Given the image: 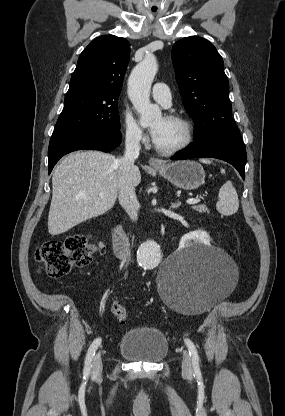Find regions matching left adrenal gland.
Here are the masks:
<instances>
[{
	"label": "left adrenal gland",
	"instance_id": "obj_1",
	"mask_svg": "<svg viewBox=\"0 0 285 416\" xmlns=\"http://www.w3.org/2000/svg\"><path fill=\"white\" fill-rule=\"evenodd\" d=\"M179 206H181V202H177V204H171L170 208H173V210H175V208H179Z\"/></svg>",
	"mask_w": 285,
	"mask_h": 416
}]
</instances>
